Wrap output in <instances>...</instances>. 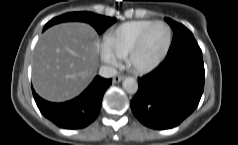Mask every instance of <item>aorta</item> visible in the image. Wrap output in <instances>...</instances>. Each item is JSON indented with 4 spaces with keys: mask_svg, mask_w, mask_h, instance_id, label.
<instances>
[{
    "mask_svg": "<svg viewBox=\"0 0 238 145\" xmlns=\"http://www.w3.org/2000/svg\"><path fill=\"white\" fill-rule=\"evenodd\" d=\"M122 86L123 89L129 94H135L138 90V82L132 77L125 78Z\"/></svg>",
    "mask_w": 238,
    "mask_h": 145,
    "instance_id": "1",
    "label": "aorta"
}]
</instances>
